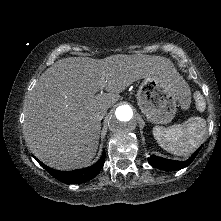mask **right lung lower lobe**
Wrapping results in <instances>:
<instances>
[{
  "label": "right lung lower lobe",
  "mask_w": 221,
  "mask_h": 221,
  "mask_svg": "<svg viewBox=\"0 0 221 221\" xmlns=\"http://www.w3.org/2000/svg\"><path fill=\"white\" fill-rule=\"evenodd\" d=\"M104 161H105V151H103L101 158L93 166L73 171L54 170L46 166L45 164L41 163L40 161L38 162L57 180L66 184H79L86 182L97 176V174L100 172V170L104 165Z\"/></svg>",
  "instance_id": "obj_1"
}]
</instances>
